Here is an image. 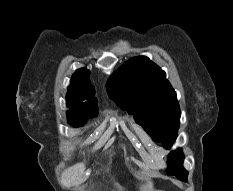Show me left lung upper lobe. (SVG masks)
<instances>
[{
	"instance_id": "1",
	"label": "left lung upper lobe",
	"mask_w": 233,
	"mask_h": 191,
	"mask_svg": "<svg viewBox=\"0 0 233 191\" xmlns=\"http://www.w3.org/2000/svg\"><path fill=\"white\" fill-rule=\"evenodd\" d=\"M107 92L119 107L133 115L154 141L171 147L177 136L181 113L176 92L159 66L145 56L134 57L109 77ZM182 159L181 149L169 154L170 175H188Z\"/></svg>"
}]
</instances>
